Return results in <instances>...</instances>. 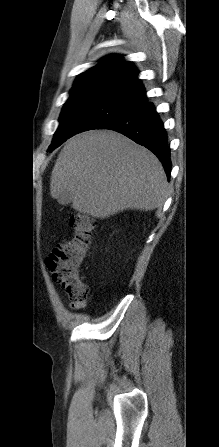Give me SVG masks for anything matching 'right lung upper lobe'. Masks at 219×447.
I'll use <instances>...</instances> for the list:
<instances>
[{
	"label": "right lung upper lobe",
	"instance_id": "cb5924a9",
	"mask_svg": "<svg viewBox=\"0 0 219 447\" xmlns=\"http://www.w3.org/2000/svg\"><path fill=\"white\" fill-rule=\"evenodd\" d=\"M122 56L111 55L103 58L98 65L82 73L75 81V87H107L146 101L145 88L138 79V72L131 62Z\"/></svg>",
	"mask_w": 219,
	"mask_h": 447
}]
</instances>
